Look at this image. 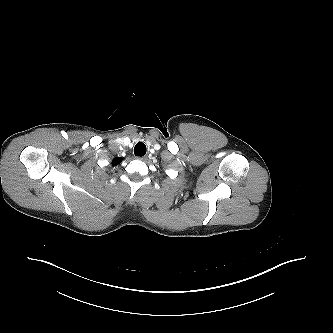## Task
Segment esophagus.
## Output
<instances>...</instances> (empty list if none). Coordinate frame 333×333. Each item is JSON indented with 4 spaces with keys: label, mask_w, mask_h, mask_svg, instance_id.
Instances as JSON below:
<instances>
[{
    "label": "esophagus",
    "mask_w": 333,
    "mask_h": 333,
    "mask_svg": "<svg viewBox=\"0 0 333 333\" xmlns=\"http://www.w3.org/2000/svg\"><path fill=\"white\" fill-rule=\"evenodd\" d=\"M137 159H139V160H146V159H147V156L137 157Z\"/></svg>",
    "instance_id": "esophagus-1"
}]
</instances>
